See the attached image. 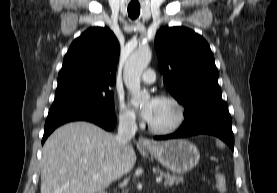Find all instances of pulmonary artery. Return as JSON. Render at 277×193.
<instances>
[{
	"instance_id": "e3ab8cb5",
	"label": "pulmonary artery",
	"mask_w": 277,
	"mask_h": 193,
	"mask_svg": "<svg viewBox=\"0 0 277 193\" xmlns=\"http://www.w3.org/2000/svg\"><path fill=\"white\" fill-rule=\"evenodd\" d=\"M155 72L152 69H147L141 76V79L144 83L151 84L155 81Z\"/></svg>"
}]
</instances>
